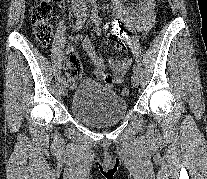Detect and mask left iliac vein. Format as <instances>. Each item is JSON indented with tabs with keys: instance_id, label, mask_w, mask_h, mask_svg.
Instances as JSON below:
<instances>
[{
	"instance_id": "obj_1",
	"label": "left iliac vein",
	"mask_w": 207,
	"mask_h": 179,
	"mask_svg": "<svg viewBox=\"0 0 207 179\" xmlns=\"http://www.w3.org/2000/svg\"><path fill=\"white\" fill-rule=\"evenodd\" d=\"M132 85L137 87L139 85V76L138 74L134 73L131 78Z\"/></svg>"
}]
</instances>
